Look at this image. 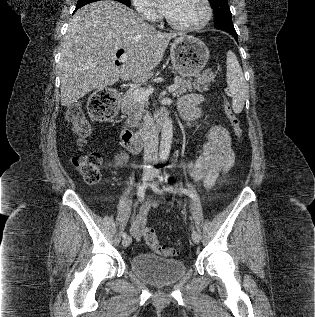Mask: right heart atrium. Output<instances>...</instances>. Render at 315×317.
Returning a JSON list of instances; mask_svg holds the SVG:
<instances>
[{
	"instance_id": "obj_1",
	"label": "right heart atrium",
	"mask_w": 315,
	"mask_h": 317,
	"mask_svg": "<svg viewBox=\"0 0 315 317\" xmlns=\"http://www.w3.org/2000/svg\"><path fill=\"white\" fill-rule=\"evenodd\" d=\"M131 2L135 10L143 18L149 21H155L158 19V14L150 0H131Z\"/></svg>"
}]
</instances>
